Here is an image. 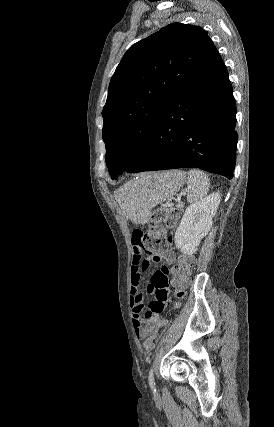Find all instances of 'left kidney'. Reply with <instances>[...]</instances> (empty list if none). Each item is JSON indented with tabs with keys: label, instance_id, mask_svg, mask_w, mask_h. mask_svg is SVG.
<instances>
[{
	"label": "left kidney",
	"instance_id": "left-kidney-1",
	"mask_svg": "<svg viewBox=\"0 0 274 427\" xmlns=\"http://www.w3.org/2000/svg\"><path fill=\"white\" fill-rule=\"evenodd\" d=\"M220 204V196L217 192L209 194L200 202L191 204L181 219L179 227L175 231V245L186 255H192L198 249V245L210 231L212 219Z\"/></svg>",
	"mask_w": 274,
	"mask_h": 427
}]
</instances>
